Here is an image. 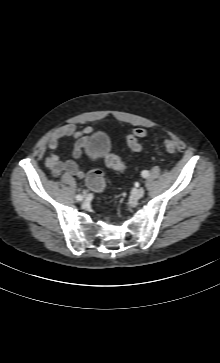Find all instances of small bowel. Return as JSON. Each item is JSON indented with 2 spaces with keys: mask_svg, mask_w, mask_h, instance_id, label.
<instances>
[{
  "mask_svg": "<svg viewBox=\"0 0 220 363\" xmlns=\"http://www.w3.org/2000/svg\"><path fill=\"white\" fill-rule=\"evenodd\" d=\"M91 132V127H85L79 130L74 124H66L59 127L51 134L48 141L49 153L46 157V167L54 177H57L62 173H67L81 179L86 177V173L79 165L78 159L81 156L82 149ZM68 137L77 139V143L74 147L72 158L62 160L55 151L58 148L60 141ZM93 157L96 158V156Z\"/></svg>",
  "mask_w": 220,
  "mask_h": 363,
  "instance_id": "small-bowel-1",
  "label": "small bowel"
}]
</instances>
